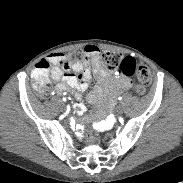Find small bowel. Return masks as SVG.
Segmentation results:
<instances>
[{"label":"small bowel","mask_w":183,"mask_h":183,"mask_svg":"<svg viewBox=\"0 0 183 183\" xmlns=\"http://www.w3.org/2000/svg\"><path fill=\"white\" fill-rule=\"evenodd\" d=\"M88 55V63L85 65L74 64L70 67L58 65L65 59L64 54L56 53L48 57V62L52 65L51 78L54 81H61L57 85L59 92L71 91L75 98L73 107L78 115H83L85 107L82 103V93L86 91L91 83L92 70L95 73L98 85L89 96L91 102L96 103L102 94H107L109 102L118 93L130 89L131 81L126 76L110 77L109 73L101 67L100 49L95 45H87L84 49ZM115 120L108 116L105 119L98 120L93 124V128L98 133H103L107 128L113 126ZM84 125L78 123L77 129L82 131Z\"/></svg>","instance_id":"1"}]
</instances>
